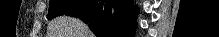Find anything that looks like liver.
Segmentation results:
<instances>
[{
  "label": "liver",
  "mask_w": 219,
  "mask_h": 37,
  "mask_svg": "<svg viewBox=\"0 0 219 37\" xmlns=\"http://www.w3.org/2000/svg\"><path fill=\"white\" fill-rule=\"evenodd\" d=\"M47 35V37H94L88 26L79 19L65 16L51 22Z\"/></svg>",
  "instance_id": "liver-1"
}]
</instances>
